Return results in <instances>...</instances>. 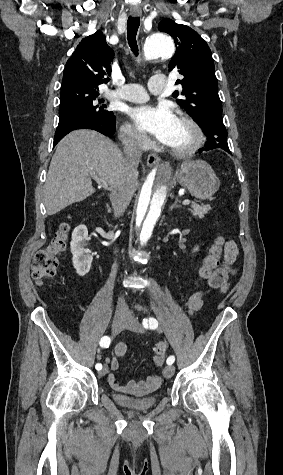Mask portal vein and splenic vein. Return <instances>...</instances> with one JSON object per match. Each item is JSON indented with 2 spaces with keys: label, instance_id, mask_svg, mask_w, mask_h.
Segmentation results:
<instances>
[{
  "label": "portal vein and splenic vein",
  "instance_id": "portal-vein-and-splenic-vein-1",
  "mask_svg": "<svg viewBox=\"0 0 283 475\" xmlns=\"http://www.w3.org/2000/svg\"><path fill=\"white\" fill-rule=\"evenodd\" d=\"M94 180H97V176H93ZM99 182V186H102V188H108L107 186V182H104V180H98ZM183 206H189L190 204V200H184V202H182Z\"/></svg>",
  "mask_w": 283,
  "mask_h": 475
}]
</instances>
